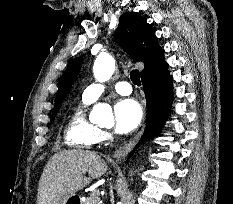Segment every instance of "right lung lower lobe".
Returning <instances> with one entry per match:
<instances>
[{"instance_id": "1", "label": "right lung lower lobe", "mask_w": 233, "mask_h": 204, "mask_svg": "<svg viewBox=\"0 0 233 204\" xmlns=\"http://www.w3.org/2000/svg\"><path fill=\"white\" fill-rule=\"evenodd\" d=\"M141 78L147 101V126L139 144L150 137L154 138L160 132L169 114L165 106H170L173 98L172 77L169 75L167 64ZM137 146L130 155L134 153Z\"/></svg>"}]
</instances>
